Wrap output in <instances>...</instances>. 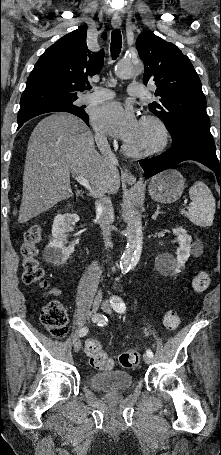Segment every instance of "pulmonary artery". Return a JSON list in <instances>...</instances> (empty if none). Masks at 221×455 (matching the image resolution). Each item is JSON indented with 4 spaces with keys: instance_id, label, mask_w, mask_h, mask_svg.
Returning <instances> with one entry per match:
<instances>
[{
    "instance_id": "e3ab8cb5",
    "label": "pulmonary artery",
    "mask_w": 221,
    "mask_h": 455,
    "mask_svg": "<svg viewBox=\"0 0 221 455\" xmlns=\"http://www.w3.org/2000/svg\"><path fill=\"white\" fill-rule=\"evenodd\" d=\"M127 92L129 95L138 97H142L145 94L144 87L140 83H131L127 88ZM113 97L114 93L110 89L104 87H94L93 92L81 97V102L97 103L112 99Z\"/></svg>"
}]
</instances>
